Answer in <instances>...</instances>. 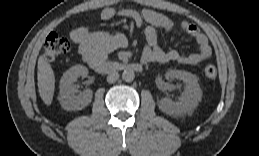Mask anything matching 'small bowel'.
Returning a JSON list of instances; mask_svg holds the SVG:
<instances>
[{"instance_id": "1", "label": "small bowel", "mask_w": 259, "mask_h": 156, "mask_svg": "<svg viewBox=\"0 0 259 156\" xmlns=\"http://www.w3.org/2000/svg\"><path fill=\"white\" fill-rule=\"evenodd\" d=\"M100 16L104 21L125 17L132 19L138 27H144L146 44L141 57L143 63L176 62L196 65L212 54L207 37L193 23L182 21L180 29L196 41L197 50L189 55H182L176 50H163L158 46L157 31L161 29L165 33H170L174 28L173 22L161 13L149 9L140 12L132 9L116 11L113 7H105ZM70 38L88 63L96 60L104 61L108 53L128 45V40L122 33H91L86 27L74 28L70 32Z\"/></svg>"}]
</instances>
